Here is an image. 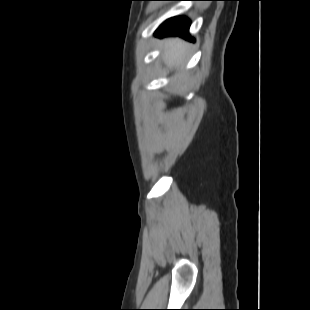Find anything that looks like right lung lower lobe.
Masks as SVG:
<instances>
[{
	"mask_svg": "<svg viewBox=\"0 0 310 310\" xmlns=\"http://www.w3.org/2000/svg\"><path fill=\"white\" fill-rule=\"evenodd\" d=\"M190 26V21L185 17H174L165 21L155 32L156 36H170L178 35L184 38L194 41L193 38L189 36L188 29Z\"/></svg>",
	"mask_w": 310,
	"mask_h": 310,
	"instance_id": "right-lung-lower-lobe-1",
	"label": "right lung lower lobe"
}]
</instances>
